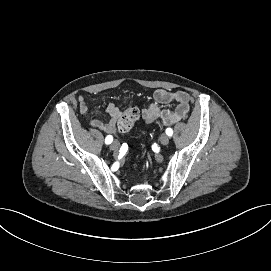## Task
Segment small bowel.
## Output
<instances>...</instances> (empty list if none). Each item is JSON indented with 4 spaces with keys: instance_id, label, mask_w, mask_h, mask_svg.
<instances>
[{
    "instance_id": "obj_1",
    "label": "small bowel",
    "mask_w": 271,
    "mask_h": 271,
    "mask_svg": "<svg viewBox=\"0 0 271 271\" xmlns=\"http://www.w3.org/2000/svg\"><path fill=\"white\" fill-rule=\"evenodd\" d=\"M153 99L154 103L141 112V118L147 124L160 120L164 125H172L185 119L189 113L191 97L185 91L157 89L153 93ZM172 102L176 104L172 110L162 109L160 107V105ZM78 104L81 113L87 115L89 113L87 100L83 96H79ZM106 112L108 120L92 119L90 125L105 133L111 134L116 131L122 113L120 108L114 103L108 104Z\"/></svg>"
}]
</instances>
